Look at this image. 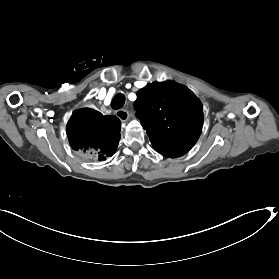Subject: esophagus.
I'll return each instance as SVG.
<instances>
[{"label": "esophagus", "instance_id": "34e87169", "mask_svg": "<svg viewBox=\"0 0 279 279\" xmlns=\"http://www.w3.org/2000/svg\"><path fill=\"white\" fill-rule=\"evenodd\" d=\"M115 115L122 122H126L129 119V112L126 109H119V110L115 111Z\"/></svg>", "mask_w": 279, "mask_h": 279}]
</instances>
